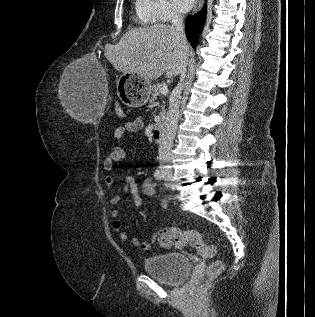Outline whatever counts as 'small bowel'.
Masks as SVG:
<instances>
[{
	"instance_id": "c3829d8e",
	"label": "small bowel",
	"mask_w": 315,
	"mask_h": 317,
	"mask_svg": "<svg viewBox=\"0 0 315 317\" xmlns=\"http://www.w3.org/2000/svg\"><path fill=\"white\" fill-rule=\"evenodd\" d=\"M144 128V122L140 117L134 120L127 121L122 126L117 127L113 132L114 139H121L128 134L138 133ZM126 158L125 150L116 146L112 149L109 155L105 158L103 166L107 172L105 178V184L108 189H110L115 181V176L113 174L114 166L122 162ZM157 183L152 178H147L141 185L139 189L135 179L132 176H126L124 179V185L122 188L123 193H129L132 196V202L137 207L140 208L143 204L142 198L140 197V191L146 195L154 197L156 195ZM111 204L114 206L119 205L122 202L121 194H112L110 198ZM159 206L162 209L168 208V202L164 199L159 200ZM112 229L118 234L119 239L122 241H127L130 239L132 245L140 247L142 250H149L151 245L157 239V233H153L149 240H140L138 237H131L129 233L123 228L121 221L118 219L119 210L117 208L113 209L112 213Z\"/></svg>"
}]
</instances>
